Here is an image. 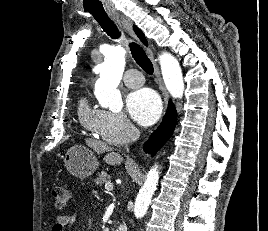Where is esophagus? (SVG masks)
Instances as JSON below:
<instances>
[{
    "mask_svg": "<svg viewBox=\"0 0 268 231\" xmlns=\"http://www.w3.org/2000/svg\"><path fill=\"white\" fill-rule=\"evenodd\" d=\"M112 18L126 32L133 33V29H132L133 22L129 18L125 17L124 15H119V14L113 15ZM145 50H146V53L153 64L154 74L156 77V83L159 86L160 91L162 92V95L164 97V101L167 103L168 102V94H167L166 88L164 86V83H163L156 59L154 58L153 52L149 47L145 46Z\"/></svg>",
    "mask_w": 268,
    "mask_h": 231,
    "instance_id": "obj_1",
    "label": "esophagus"
}]
</instances>
